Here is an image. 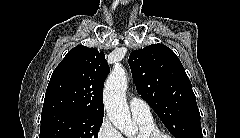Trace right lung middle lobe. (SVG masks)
Instances as JSON below:
<instances>
[{"label":"right lung middle lobe","mask_w":240,"mask_h":138,"mask_svg":"<svg viewBox=\"0 0 240 138\" xmlns=\"http://www.w3.org/2000/svg\"><path fill=\"white\" fill-rule=\"evenodd\" d=\"M102 117L69 112L41 116L39 138H98Z\"/></svg>","instance_id":"1"}]
</instances>
